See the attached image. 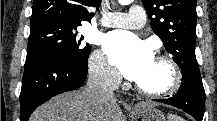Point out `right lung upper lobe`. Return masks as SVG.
Here are the masks:
<instances>
[{
    "label": "right lung upper lobe",
    "instance_id": "1",
    "mask_svg": "<svg viewBox=\"0 0 217 121\" xmlns=\"http://www.w3.org/2000/svg\"><path fill=\"white\" fill-rule=\"evenodd\" d=\"M100 4L101 0H34L31 24L44 20H55L81 25L82 21L90 22L94 16L88 8H98Z\"/></svg>",
    "mask_w": 217,
    "mask_h": 121
}]
</instances>
